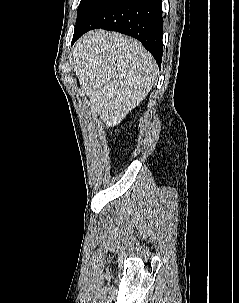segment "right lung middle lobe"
Listing matches in <instances>:
<instances>
[{
	"mask_svg": "<svg viewBox=\"0 0 239 303\" xmlns=\"http://www.w3.org/2000/svg\"><path fill=\"white\" fill-rule=\"evenodd\" d=\"M107 0H81L78 6L77 21L74 33L82 30L85 25L91 20L96 11Z\"/></svg>",
	"mask_w": 239,
	"mask_h": 303,
	"instance_id": "dd1d6c3e",
	"label": "right lung middle lobe"
}]
</instances>
